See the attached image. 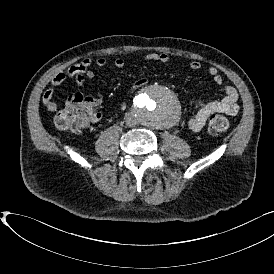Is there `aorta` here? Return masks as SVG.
Masks as SVG:
<instances>
[{
    "label": "aorta",
    "mask_w": 274,
    "mask_h": 274,
    "mask_svg": "<svg viewBox=\"0 0 274 274\" xmlns=\"http://www.w3.org/2000/svg\"><path fill=\"white\" fill-rule=\"evenodd\" d=\"M136 105L144 126L161 129L171 126L180 116L177 96L158 84L146 87L137 97Z\"/></svg>",
    "instance_id": "aorta-1"
}]
</instances>
